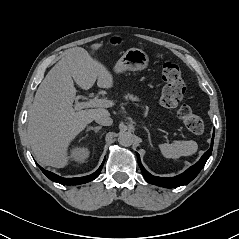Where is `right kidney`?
<instances>
[{
	"label": "right kidney",
	"instance_id": "obj_1",
	"mask_svg": "<svg viewBox=\"0 0 239 239\" xmlns=\"http://www.w3.org/2000/svg\"><path fill=\"white\" fill-rule=\"evenodd\" d=\"M89 150L86 147H74L71 150V159L79 162V163H84L86 159L89 157Z\"/></svg>",
	"mask_w": 239,
	"mask_h": 239
}]
</instances>
